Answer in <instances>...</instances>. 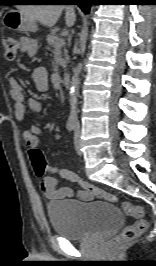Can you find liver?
<instances>
[{"instance_id": "liver-1", "label": "liver", "mask_w": 156, "mask_h": 266, "mask_svg": "<svg viewBox=\"0 0 156 266\" xmlns=\"http://www.w3.org/2000/svg\"><path fill=\"white\" fill-rule=\"evenodd\" d=\"M66 10L65 21L67 26H72L75 22V11L71 5H24L19 10L34 22L52 27L54 26L63 10Z\"/></svg>"}]
</instances>
